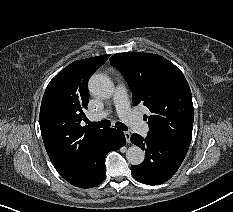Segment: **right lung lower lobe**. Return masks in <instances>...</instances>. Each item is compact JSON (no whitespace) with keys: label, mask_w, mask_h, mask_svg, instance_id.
Masks as SVG:
<instances>
[{"label":"right lung lower lobe","mask_w":233,"mask_h":212,"mask_svg":"<svg viewBox=\"0 0 233 212\" xmlns=\"http://www.w3.org/2000/svg\"><path fill=\"white\" fill-rule=\"evenodd\" d=\"M126 144L123 132L105 129L87 165L75 175L65 180L80 188H91L99 185L106 178L105 156L108 152L118 150Z\"/></svg>","instance_id":"obj_1"}]
</instances>
